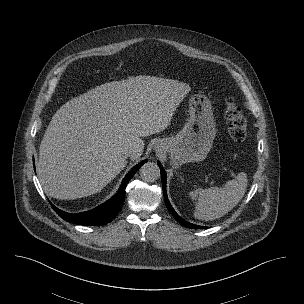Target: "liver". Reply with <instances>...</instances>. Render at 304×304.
Returning a JSON list of instances; mask_svg holds the SVG:
<instances>
[{"label":"liver","instance_id":"1","mask_svg":"<svg viewBox=\"0 0 304 304\" xmlns=\"http://www.w3.org/2000/svg\"><path fill=\"white\" fill-rule=\"evenodd\" d=\"M188 84L140 75L97 86L53 115L36 169L45 193L71 200L95 194L126 166V150L168 127Z\"/></svg>","mask_w":304,"mask_h":304}]
</instances>
